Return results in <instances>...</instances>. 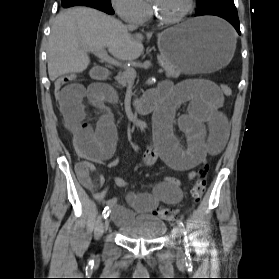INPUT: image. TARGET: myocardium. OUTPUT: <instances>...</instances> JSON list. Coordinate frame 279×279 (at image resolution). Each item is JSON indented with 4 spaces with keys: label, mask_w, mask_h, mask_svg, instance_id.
Returning <instances> with one entry per match:
<instances>
[{
    "label": "myocardium",
    "mask_w": 279,
    "mask_h": 279,
    "mask_svg": "<svg viewBox=\"0 0 279 279\" xmlns=\"http://www.w3.org/2000/svg\"><path fill=\"white\" fill-rule=\"evenodd\" d=\"M195 0H188V6L182 11L180 15L174 18H164L158 14L156 9L150 4V9L153 17L161 24L174 25L186 19L194 10Z\"/></svg>",
    "instance_id": "obj_1"
}]
</instances>
